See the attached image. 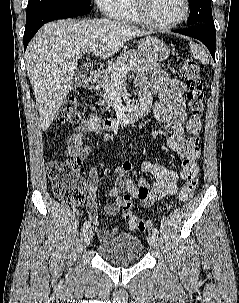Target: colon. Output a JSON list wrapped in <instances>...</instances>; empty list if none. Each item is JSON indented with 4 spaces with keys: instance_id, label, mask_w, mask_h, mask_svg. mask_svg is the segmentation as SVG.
<instances>
[{
    "instance_id": "colon-1",
    "label": "colon",
    "mask_w": 239,
    "mask_h": 303,
    "mask_svg": "<svg viewBox=\"0 0 239 303\" xmlns=\"http://www.w3.org/2000/svg\"><path fill=\"white\" fill-rule=\"evenodd\" d=\"M182 76L187 86L189 120L187 123V149L182 161V184L178 192L180 202L192 199L199 185L200 157L199 134L201 132V116L204 109V82L201 68L197 61L187 59L182 67ZM81 119L74 98L65 101L58 114V122L75 124ZM81 162L74 157L65 160H51L47 165V173L55 196L65 204L80 206L86 200V184L80 175ZM123 217L133 230L145 232L152 224L148 220L139 219L131 212L132 197L125 194L122 198Z\"/></svg>"
}]
</instances>
